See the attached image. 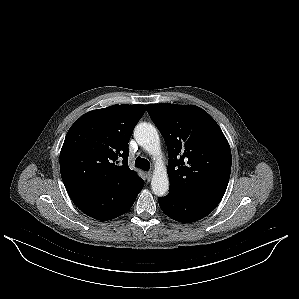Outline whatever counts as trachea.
Returning <instances> with one entry per match:
<instances>
[{"label": "trachea", "instance_id": "trachea-1", "mask_svg": "<svg viewBox=\"0 0 299 299\" xmlns=\"http://www.w3.org/2000/svg\"><path fill=\"white\" fill-rule=\"evenodd\" d=\"M135 167L140 168L144 171H147L150 168V163L148 160H146L144 158L137 157L135 160Z\"/></svg>", "mask_w": 299, "mask_h": 299}]
</instances>
